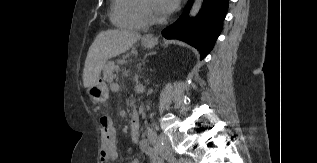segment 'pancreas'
<instances>
[{
	"label": "pancreas",
	"instance_id": "1",
	"mask_svg": "<svg viewBox=\"0 0 317 163\" xmlns=\"http://www.w3.org/2000/svg\"><path fill=\"white\" fill-rule=\"evenodd\" d=\"M119 68L115 65L113 61L107 62V64L103 68V79L109 83L116 78L114 72H118Z\"/></svg>",
	"mask_w": 317,
	"mask_h": 163
}]
</instances>
